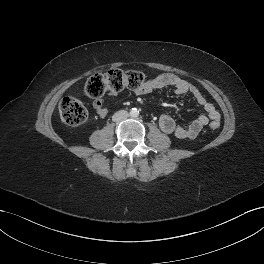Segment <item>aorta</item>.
<instances>
[{"label": "aorta", "mask_w": 264, "mask_h": 264, "mask_svg": "<svg viewBox=\"0 0 264 264\" xmlns=\"http://www.w3.org/2000/svg\"><path fill=\"white\" fill-rule=\"evenodd\" d=\"M138 115H139V111H138L137 108H132V109L130 110V116H131V117L135 118V117H138Z\"/></svg>", "instance_id": "aorta-1"}]
</instances>
